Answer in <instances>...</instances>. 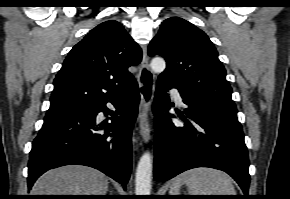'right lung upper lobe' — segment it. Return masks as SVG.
Segmentation results:
<instances>
[{"mask_svg":"<svg viewBox=\"0 0 290 199\" xmlns=\"http://www.w3.org/2000/svg\"><path fill=\"white\" fill-rule=\"evenodd\" d=\"M142 52L123 26L110 20L92 29L66 57L54 80L46 117L92 107L129 88L135 79L128 67Z\"/></svg>","mask_w":290,"mask_h":199,"instance_id":"cb5924a9","label":"right lung upper lobe"}]
</instances>
